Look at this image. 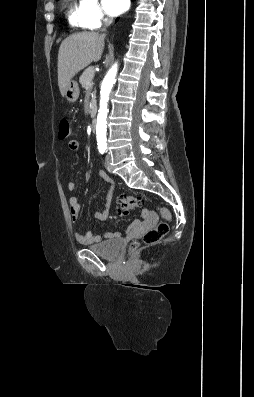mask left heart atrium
<instances>
[{
    "label": "left heart atrium",
    "instance_id": "39dd6f15",
    "mask_svg": "<svg viewBox=\"0 0 254 397\" xmlns=\"http://www.w3.org/2000/svg\"><path fill=\"white\" fill-rule=\"evenodd\" d=\"M129 0H102L103 6L110 15H118L126 10Z\"/></svg>",
    "mask_w": 254,
    "mask_h": 397
}]
</instances>
